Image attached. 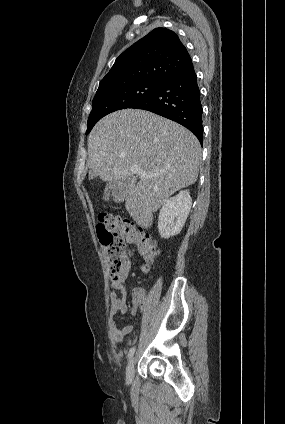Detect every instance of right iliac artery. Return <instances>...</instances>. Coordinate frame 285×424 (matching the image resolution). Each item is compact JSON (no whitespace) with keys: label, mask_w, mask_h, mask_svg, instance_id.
Returning <instances> with one entry per match:
<instances>
[{"label":"right iliac artery","mask_w":285,"mask_h":424,"mask_svg":"<svg viewBox=\"0 0 285 424\" xmlns=\"http://www.w3.org/2000/svg\"><path fill=\"white\" fill-rule=\"evenodd\" d=\"M134 353H135V347H132L129 350L128 358L131 359L133 357Z\"/></svg>","instance_id":"right-iliac-artery-1"}]
</instances>
